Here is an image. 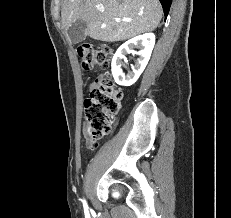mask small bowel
<instances>
[{
    "mask_svg": "<svg viewBox=\"0 0 231 218\" xmlns=\"http://www.w3.org/2000/svg\"><path fill=\"white\" fill-rule=\"evenodd\" d=\"M100 80V78H97L92 84L91 87H93L94 85H96L98 83V81ZM85 142H86V146L88 149H94L96 147L95 144H93L87 137H85Z\"/></svg>",
    "mask_w": 231,
    "mask_h": 218,
    "instance_id": "c3829d8e",
    "label": "small bowel"
}]
</instances>
